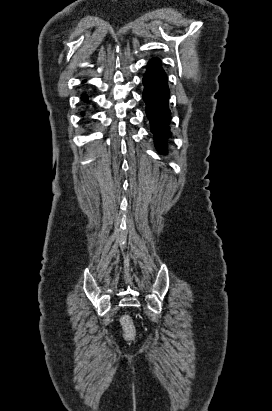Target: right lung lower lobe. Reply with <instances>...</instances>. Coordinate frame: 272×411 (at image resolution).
<instances>
[{"mask_svg":"<svg viewBox=\"0 0 272 411\" xmlns=\"http://www.w3.org/2000/svg\"><path fill=\"white\" fill-rule=\"evenodd\" d=\"M82 99L87 102V101H88V96L85 95V94H83V95H82ZM82 114H83V113H82Z\"/></svg>","mask_w":272,"mask_h":411,"instance_id":"1","label":"right lung lower lobe"}]
</instances>
